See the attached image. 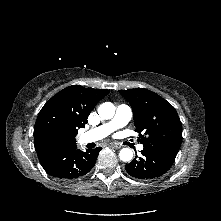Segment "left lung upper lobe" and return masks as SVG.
<instances>
[{
	"label": "left lung upper lobe",
	"mask_w": 221,
	"mask_h": 221,
	"mask_svg": "<svg viewBox=\"0 0 221 221\" xmlns=\"http://www.w3.org/2000/svg\"><path fill=\"white\" fill-rule=\"evenodd\" d=\"M120 93L129 101L135 131L143 145H161L179 150L182 124L175 108L158 94L143 88Z\"/></svg>",
	"instance_id": "obj_1"
}]
</instances>
